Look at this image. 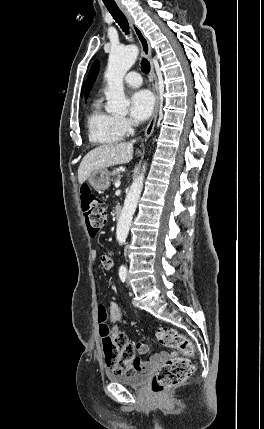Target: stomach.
Segmentation results:
<instances>
[{
	"instance_id": "1",
	"label": "stomach",
	"mask_w": 264,
	"mask_h": 429,
	"mask_svg": "<svg viewBox=\"0 0 264 429\" xmlns=\"http://www.w3.org/2000/svg\"><path fill=\"white\" fill-rule=\"evenodd\" d=\"M89 184L97 191H103L110 186V172L104 168L95 170L88 178Z\"/></svg>"
}]
</instances>
